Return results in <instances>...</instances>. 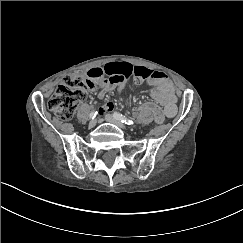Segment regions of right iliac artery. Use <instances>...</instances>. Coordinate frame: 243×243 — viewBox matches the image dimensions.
Segmentation results:
<instances>
[{
	"label": "right iliac artery",
	"instance_id": "obj_1",
	"mask_svg": "<svg viewBox=\"0 0 243 243\" xmlns=\"http://www.w3.org/2000/svg\"><path fill=\"white\" fill-rule=\"evenodd\" d=\"M98 112L97 111H92L89 115L90 119H94L97 116Z\"/></svg>",
	"mask_w": 243,
	"mask_h": 243
}]
</instances>
